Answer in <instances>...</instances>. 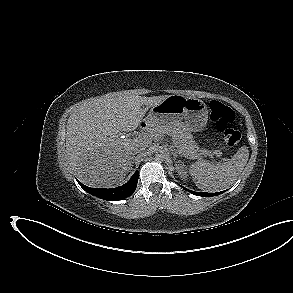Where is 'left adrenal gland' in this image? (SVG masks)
Here are the masks:
<instances>
[{"label":"left adrenal gland","instance_id":"left-adrenal-gland-1","mask_svg":"<svg viewBox=\"0 0 293 293\" xmlns=\"http://www.w3.org/2000/svg\"><path fill=\"white\" fill-rule=\"evenodd\" d=\"M172 154H173V157H174V159L178 156V151H177V149H175V148H173L172 149Z\"/></svg>","mask_w":293,"mask_h":293}]
</instances>
